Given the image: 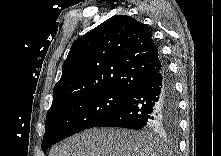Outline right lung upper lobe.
I'll use <instances>...</instances> for the list:
<instances>
[{
    "mask_svg": "<svg viewBox=\"0 0 221 156\" xmlns=\"http://www.w3.org/2000/svg\"><path fill=\"white\" fill-rule=\"evenodd\" d=\"M164 67L146 26L130 16H113L71 46L52 106L101 91L130 94Z\"/></svg>",
    "mask_w": 221,
    "mask_h": 156,
    "instance_id": "cb5924a9",
    "label": "right lung upper lobe"
}]
</instances>
